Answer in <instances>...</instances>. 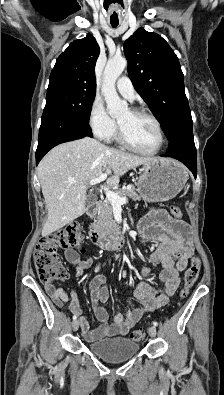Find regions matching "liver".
Returning <instances> with one entry per match:
<instances>
[{
  "instance_id": "1",
  "label": "liver",
  "mask_w": 224,
  "mask_h": 395,
  "mask_svg": "<svg viewBox=\"0 0 224 395\" xmlns=\"http://www.w3.org/2000/svg\"><path fill=\"white\" fill-rule=\"evenodd\" d=\"M153 159L110 148L89 137L53 148L37 168L48 211L42 236H48L84 214L87 188L92 179L106 173L107 184L116 186L120 176Z\"/></svg>"
}]
</instances>
